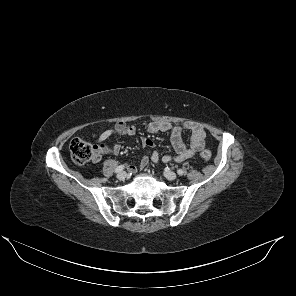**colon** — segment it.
Listing matches in <instances>:
<instances>
[{
	"label": "colon",
	"instance_id": "1",
	"mask_svg": "<svg viewBox=\"0 0 296 296\" xmlns=\"http://www.w3.org/2000/svg\"><path fill=\"white\" fill-rule=\"evenodd\" d=\"M69 150L73 162L77 165H84L98 156L96 147L80 138L71 140ZM200 156L203 160L208 161L211 159V152L209 150H203Z\"/></svg>",
	"mask_w": 296,
	"mask_h": 296
}]
</instances>
